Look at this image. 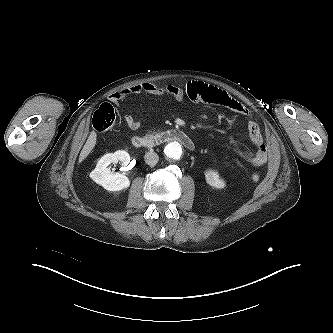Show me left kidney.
Masks as SVG:
<instances>
[{
	"instance_id": "left-kidney-1",
	"label": "left kidney",
	"mask_w": 333,
	"mask_h": 333,
	"mask_svg": "<svg viewBox=\"0 0 333 333\" xmlns=\"http://www.w3.org/2000/svg\"><path fill=\"white\" fill-rule=\"evenodd\" d=\"M205 179L208 185L216 189H222L226 186L223 179L220 178L218 172L214 170H208L205 172Z\"/></svg>"
}]
</instances>
